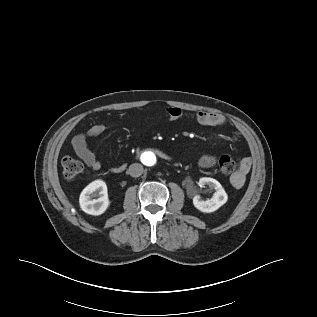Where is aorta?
<instances>
[{
  "label": "aorta",
  "instance_id": "762f6f07",
  "mask_svg": "<svg viewBox=\"0 0 317 317\" xmlns=\"http://www.w3.org/2000/svg\"><path fill=\"white\" fill-rule=\"evenodd\" d=\"M141 160L148 167L154 166L157 162L156 155L153 152L143 153Z\"/></svg>",
  "mask_w": 317,
  "mask_h": 317
}]
</instances>
